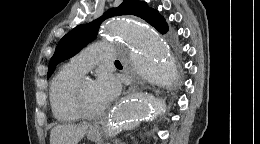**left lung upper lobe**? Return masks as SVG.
I'll return each instance as SVG.
<instances>
[{
	"label": "left lung upper lobe",
	"mask_w": 260,
	"mask_h": 144,
	"mask_svg": "<svg viewBox=\"0 0 260 144\" xmlns=\"http://www.w3.org/2000/svg\"><path fill=\"white\" fill-rule=\"evenodd\" d=\"M120 15H135L138 16L162 34L168 30L167 23L164 18L143 1L124 0L117 8H112L106 11L100 18L88 24L76 26L67 33L58 43L54 55L49 62L47 77L53 73L56 65L64 60H67L77 54L84 46L91 42L97 35L101 23L107 18Z\"/></svg>",
	"instance_id": "obj_1"
}]
</instances>
